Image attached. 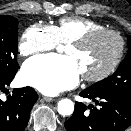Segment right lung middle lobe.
Masks as SVG:
<instances>
[{
	"mask_svg": "<svg viewBox=\"0 0 131 131\" xmlns=\"http://www.w3.org/2000/svg\"><path fill=\"white\" fill-rule=\"evenodd\" d=\"M18 21L11 16H0V80L14 76L19 68Z\"/></svg>",
	"mask_w": 131,
	"mask_h": 131,
	"instance_id": "1",
	"label": "right lung middle lobe"
}]
</instances>
